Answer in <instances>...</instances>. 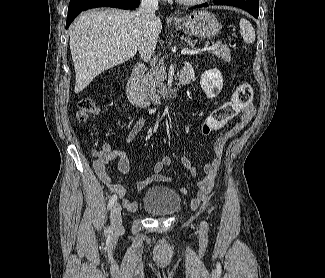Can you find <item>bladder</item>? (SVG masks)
I'll return each instance as SVG.
<instances>
[{
    "label": "bladder",
    "instance_id": "1",
    "mask_svg": "<svg viewBox=\"0 0 325 278\" xmlns=\"http://www.w3.org/2000/svg\"><path fill=\"white\" fill-rule=\"evenodd\" d=\"M142 206L152 216H171L179 211L181 197L170 187L156 185L146 190Z\"/></svg>",
    "mask_w": 325,
    "mask_h": 278
}]
</instances>
